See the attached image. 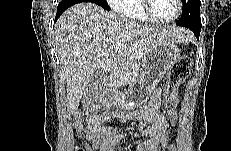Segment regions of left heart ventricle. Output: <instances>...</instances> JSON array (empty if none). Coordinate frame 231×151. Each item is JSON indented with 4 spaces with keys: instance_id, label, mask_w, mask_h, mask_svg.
<instances>
[{
    "instance_id": "1",
    "label": "left heart ventricle",
    "mask_w": 231,
    "mask_h": 151,
    "mask_svg": "<svg viewBox=\"0 0 231 151\" xmlns=\"http://www.w3.org/2000/svg\"><path fill=\"white\" fill-rule=\"evenodd\" d=\"M151 3L154 15L160 19H169L176 13V0H152Z\"/></svg>"
}]
</instances>
